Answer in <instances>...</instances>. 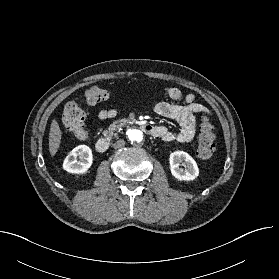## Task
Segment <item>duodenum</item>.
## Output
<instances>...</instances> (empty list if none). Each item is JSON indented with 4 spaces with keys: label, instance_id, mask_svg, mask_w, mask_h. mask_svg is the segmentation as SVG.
I'll list each match as a JSON object with an SVG mask.
<instances>
[{
    "label": "duodenum",
    "instance_id": "obj_1",
    "mask_svg": "<svg viewBox=\"0 0 279 279\" xmlns=\"http://www.w3.org/2000/svg\"><path fill=\"white\" fill-rule=\"evenodd\" d=\"M126 122H123L125 124ZM140 128L147 134L155 135L157 133L156 127L152 126L151 124L141 121ZM110 140L106 137L99 138L96 142V150L100 153H104L109 149Z\"/></svg>",
    "mask_w": 279,
    "mask_h": 279
}]
</instances>
